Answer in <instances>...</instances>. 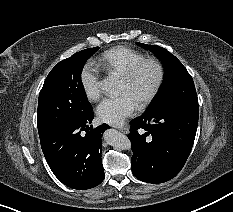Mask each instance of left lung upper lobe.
I'll list each match as a JSON object with an SVG mask.
<instances>
[{"instance_id": "1", "label": "left lung upper lobe", "mask_w": 233, "mask_h": 212, "mask_svg": "<svg viewBox=\"0 0 233 212\" xmlns=\"http://www.w3.org/2000/svg\"><path fill=\"white\" fill-rule=\"evenodd\" d=\"M141 47L154 52L162 61L165 69L163 84L148 109L171 102L198 104L194 82L181 62L166 49L137 43Z\"/></svg>"}]
</instances>
